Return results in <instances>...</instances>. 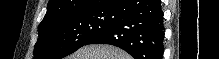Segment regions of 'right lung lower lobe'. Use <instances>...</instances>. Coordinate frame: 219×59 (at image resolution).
<instances>
[{
    "label": "right lung lower lobe",
    "mask_w": 219,
    "mask_h": 59,
    "mask_svg": "<svg viewBox=\"0 0 219 59\" xmlns=\"http://www.w3.org/2000/svg\"><path fill=\"white\" fill-rule=\"evenodd\" d=\"M113 11V23L88 44L114 45L135 59H162L164 26L160 0H119Z\"/></svg>",
    "instance_id": "obj_1"
}]
</instances>
